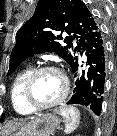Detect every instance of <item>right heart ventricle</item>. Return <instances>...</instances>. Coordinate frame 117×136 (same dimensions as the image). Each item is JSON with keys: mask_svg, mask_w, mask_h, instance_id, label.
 Segmentation results:
<instances>
[{"mask_svg": "<svg viewBox=\"0 0 117 136\" xmlns=\"http://www.w3.org/2000/svg\"><path fill=\"white\" fill-rule=\"evenodd\" d=\"M31 71L30 68L22 70L17 74L11 86L10 97L12 106L19 115L23 116L30 115L34 112L28 107L23 98L24 85Z\"/></svg>", "mask_w": 117, "mask_h": 136, "instance_id": "e07e8e85", "label": "right heart ventricle"}]
</instances>
